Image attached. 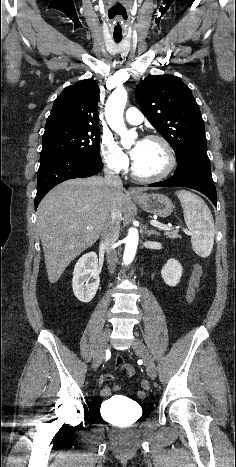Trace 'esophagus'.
<instances>
[{"label": "esophagus", "mask_w": 236, "mask_h": 467, "mask_svg": "<svg viewBox=\"0 0 236 467\" xmlns=\"http://www.w3.org/2000/svg\"><path fill=\"white\" fill-rule=\"evenodd\" d=\"M128 194H130V195H141L142 193H141V191L139 189L130 186L128 188Z\"/></svg>", "instance_id": "obj_1"}]
</instances>
